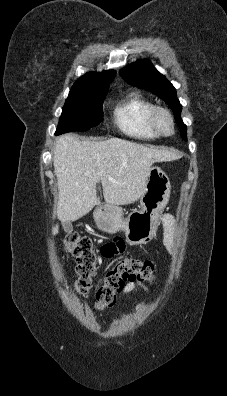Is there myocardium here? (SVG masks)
Segmentation results:
<instances>
[{
	"instance_id": "1",
	"label": "myocardium",
	"mask_w": 227,
	"mask_h": 396,
	"mask_svg": "<svg viewBox=\"0 0 227 396\" xmlns=\"http://www.w3.org/2000/svg\"><path fill=\"white\" fill-rule=\"evenodd\" d=\"M161 116H165L168 118L170 123V128L165 130L161 127L159 123V119ZM150 123L153 129L160 135V136H171L175 132V119L169 109L163 106H154L150 113Z\"/></svg>"
}]
</instances>
